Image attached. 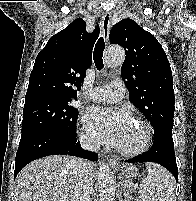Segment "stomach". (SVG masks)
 <instances>
[{"label":"stomach","instance_id":"stomach-1","mask_svg":"<svg viewBox=\"0 0 196 201\" xmlns=\"http://www.w3.org/2000/svg\"><path fill=\"white\" fill-rule=\"evenodd\" d=\"M120 171V175L124 180H132L137 177V169L134 166H121L117 168Z\"/></svg>","mask_w":196,"mask_h":201}]
</instances>
